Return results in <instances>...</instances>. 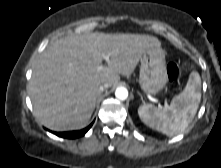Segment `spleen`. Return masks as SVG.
<instances>
[{
	"label": "spleen",
	"instance_id": "3e777b00",
	"mask_svg": "<svg viewBox=\"0 0 221 168\" xmlns=\"http://www.w3.org/2000/svg\"><path fill=\"white\" fill-rule=\"evenodd\" d=\"M201 101V78L193 71L184 90L176 95L170 105L164 109L152 104L138 108V115L143 123L167 136L184 132L193 120Z\"/></svg>",
	"mask_w": 221,
	"mask_h": 168
}]
</instances>
